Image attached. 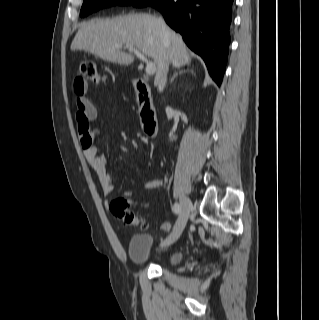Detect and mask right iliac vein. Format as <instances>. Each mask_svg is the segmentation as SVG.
Segmentation results:
<instances>
[{"instance_id": "1", "label": "right iliac vein", "mask_w": 319, "mask_h": 320, "mask_svg": "<svg viewBox=\"0 0 319 320\" xmlns=\"http://www.w3.org/2000/svg\"><path fill=\"white\" fill-rule=\"evenodd\" d=\"M180 204H181L180 216L174 226L172 233L162 243L163 246H169V245L173 244L174 242H176L177 239L182 234V232L187 224L190 212L192 211V208H193L192 202L189 198L182 197Z\"/></svg>"}]
</instances>
